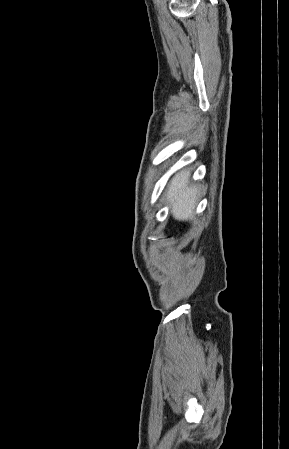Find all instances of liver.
<instances>
[{"label": "liver", "instance_id": "1", "mask_svg": "<svg viewBox=\"0 0 289 449\" xmlns=\"http://www.w3.org/2000/svg\"><path fill=\"white\" fill-rule=\"evenodd\" d=\"M191 173L188 169L180 171L172 180L167 192V203L171 204V213L176 220L188 221L194 218L198 190L189 184Z\"/></svg>", "mask_w": 289, "mask_h": 449}]
</instances>
